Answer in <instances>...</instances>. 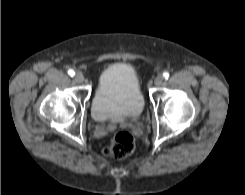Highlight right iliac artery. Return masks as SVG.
<instances>
[{
    "label": "right iliac artery",
    "instance_id": "82829eb1",
    "mask_svg": "<svg viewBox=\"0 0 245 195\" xmlns=\"http://www.w3.org/2000/svg\"><path fill=\"white\" fill-rule=\"evenodd\" d=\"M68 74L73 77L75 75V72H74V70L70 69L68 71Z\"/></svg>",
    "mask_w": 245,
    "mask_h": 195
}]
</instances>
